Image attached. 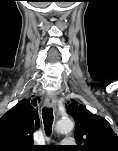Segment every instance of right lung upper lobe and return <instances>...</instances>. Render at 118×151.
Masks as SVG:
<instances>
[{"instance_id":"cb5924a9","label":"right lung upper lobe","mask_w":118,"mask_h":151,"mask_svg":"<svg viewBox=\"0 0 118 151\" xmlns=\"http://www.w3.org/2000/svg\"><path fill=\"white\" fill-rule=\"evenodd\" d=\"M37 99H23L0 118V151H31L39 127Z\"/></svg>"}]
</instances>
